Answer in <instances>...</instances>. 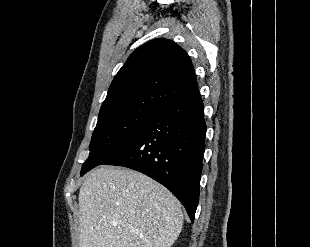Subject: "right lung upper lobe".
Masks as SVG:
<instances>
[{"label":"right lung upper lobe","mask_w":310,"mask_h":247,"mask_svg":"<svg viewBox=\"0 0 310 247\" xmlns=\"http://www.w3.org/2000/svg\"><path fill=\"white\" fill-rule=\"evenodd\" d=\"M198 90L186 51L171 40L154 39L138 47L118 71L99 115L134 106L161 110Z\"/></svg>","instance_id":"1"}]
</instances>
